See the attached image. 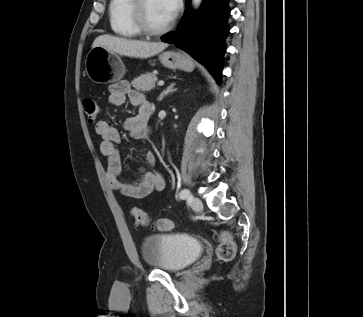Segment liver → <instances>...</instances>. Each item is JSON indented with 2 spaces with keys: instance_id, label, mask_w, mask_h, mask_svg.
<instances>
[{
  "instance_id": "1",
  "label": "liver",
  "mask_w": 363,
  "mask_h": 317,
  "mask_svg": "<svg viewBox=\"0 0 363 317\" xmlns=\"http://www.w3.org/2000/svg\"><path fill=\"white\" fill-rule=\"evenodd\" d=\"M99 46L128 57L149 58L166 49L168 44L131 40L104 34L98 36L92 44V48Z\"/></svg>"
}]
</instances>
